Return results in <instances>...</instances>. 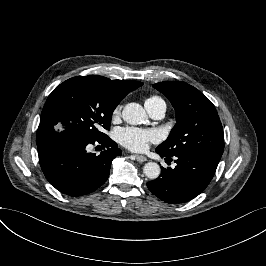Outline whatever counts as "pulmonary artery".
<instances>
[{"mask_svg": "<svg viewBox=\"0 0 266 266\" xmlns=\"http://www.w3.org/2000/svg\"><path fill=\"white\" fill-rule=\"evenodd\" d=\"M166 109H167V105L166 103H163L156 109H148V110L152 117L158 119L164 116Z\"/></svg>", "mask_w": 266, "mask_h": 266, "instance_id": "obj_1", "label": "pulmonary artery"}]
</instances>
